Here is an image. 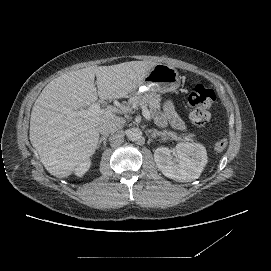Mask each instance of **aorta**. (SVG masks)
I'll use <instances>...</instances> for the list:
<instances>
[{
  "mask_svg": "<svg viewBox=\"0 0 271 271\" xmlns=\"http://www.w3.org/2000/svg\"><path fill=\"white\" fill-rule=\"evenodd\" d=\"M126 134L127 138L132 142H137L142 138V131L139 128H130Z\"/></svg>",
  "mask_w": 271,
  "mask_h": 271,
  "instance_id": "762f6f07",
  "label": "aorta"
}]
</instances>
